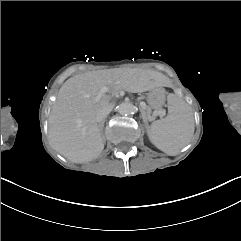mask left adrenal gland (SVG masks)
Instances as JSON below:
<instances>
[{"mask_svg": "<svg viewBox=\"0 0 241 241\" xmlns=\"http://www.w3.org/2000/svg\"><path fill=\"white\" fill-rule=\"evenodd\" d=\"M142 118H143V121H144L145 125H147V118L144 114H142Z\"/></svg>", "mask_w": 241, "mask_h": 241, "instance_id": "obj_1", "label": "left adrenal gland"}]
</instances>
